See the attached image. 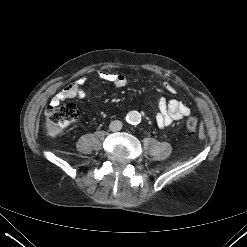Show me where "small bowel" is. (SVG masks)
<instances>
[{
  "label": "small bowel",
  "mask_w": 247,
  "mask_h": 247,
  "mask_svg": "<svg viewBox=\"0 0 247 247\" xmlns=\"http://www.w3.org/2000/svg\"><path fill=\"white\" fill-rule=\"evenodd\" d=\"M98 76L100 79L112 83L116 88H123L128 84V79L121 73L100 70L98 72ZM84 84V78L78 79L77 81L57 93L53 97L52 103L59 104L61 101H64L66 99L85 98L86 93L83 89ZM163 88L169 93L176 92L175 87L168 82L163 83ZM158 106L159 112L156 115V123L161 128L171 125L174 121H179L184 117H187L191 112L190 108L186 104L176 99L168 101L162 97L159 100Z\"/></svg>",
  "instance_id": "1"
}]
</instances>
